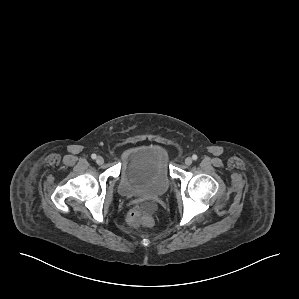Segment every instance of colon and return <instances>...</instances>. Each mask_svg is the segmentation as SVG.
<instances>
[{
	"label": "colon",
	"instance_id": "1",
	"mask_svg": "<svg viewBox=\"0 0 299 299\" xmlns=\"http://www.w3.org/2000/svg\"><path fill=\"white\" fill-rule=\"evenodd\" d=\"M127 222L132 226H150L152 218L141 208H133L127 215Z\"/></svg>",
	"mask_w": 299,
	"mask_h": 299
}]
</instances>
